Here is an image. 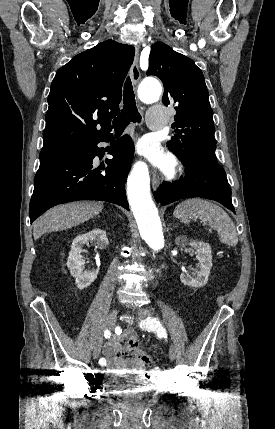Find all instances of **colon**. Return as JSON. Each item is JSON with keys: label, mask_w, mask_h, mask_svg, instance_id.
<instances>
[{"label": "colon", "mask_w": 275, "mask_h": 429, "mask_svg": "<svg viewBox=\"0 0 275 429\" xmlns=\"http://www.w3.org/2000/svg\"><path fill=\"white\" fill-rule=\"evenodd\" d=\"M130 352L134 355V358L137 361L145 364L147 367H149L150 369L154 370V365L156 363V360L152 356L146 354L140 348V345H139L138 341H132L130 343Z\"/></svg>", "instance_id": "1"}]
</instances>
